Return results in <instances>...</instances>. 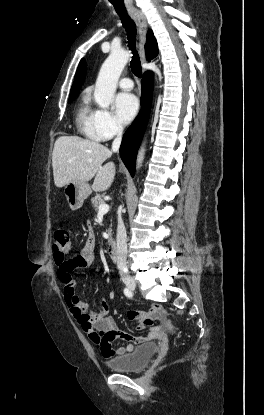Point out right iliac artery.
<instances>
[{"mask_svg":"<svg viewBox=\"0 0 264 415\" xmlns=\"http://www.w3.org/2000/svg\"><path fill=\"white\" fill-rule=\"evenodd\" d=\"M124 294H125L127 297H129V298H131V297L133 296L132 291H131V290H129L128 288H125V289H124Z\"/></svg>","mask_w":264,"mask_h":415,"instance_id":"82829eb1","label":"right iliac artery"}]
</instances>
